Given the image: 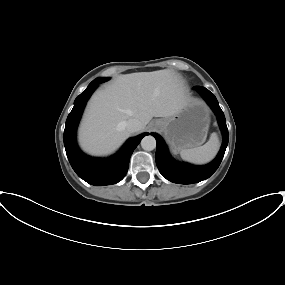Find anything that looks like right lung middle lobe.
I'll use <instances>...</instances> for the list:
<instances>
[{"label": "right lung middle lobe", "instance_id": "obj_1", "mask_svg": "<svg viewBox=\"0 0 285 285\" xmlns=\"http://www.w3.org/2000/svg\"><path fill=\"white\" fill-rule=\"evenodd\" d=\"M108 80H109V78H97L94 81H92L91 83H103V82H106Z\"/></svg>", "mask_w": 285, "mask_h": 285}]
</instances>
